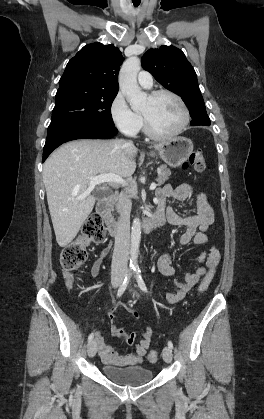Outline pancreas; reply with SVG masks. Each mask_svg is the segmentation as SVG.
Here are the masks:
<instances>
[{
  "label": "pancreas",
  "mask_w": 264,
  "mask_h": 419,
  "mask_svg": "<svg viewBox=\"0 0 264 419\" xmlns=\"http://www.w3.org/2000/svg\"><path fill=\"white\" fill-rule=\"evenodd\" d=\"M158 174H159V177L157 178L158 185H162L168 180L169 176L171 175V172L167 168L166 165H161L158 168ZM132 197H134V195L130 194V193H126V195H125V199H126L127 202H129L130 198H132Z\"/></svg>",
  "instance_id": "obj_1"
}]
</instances>
